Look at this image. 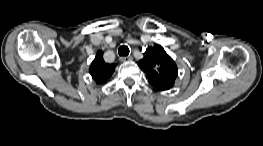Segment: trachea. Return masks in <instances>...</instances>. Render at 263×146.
I'll list each match as a JSON object with an SVG mask.
<instances>
[{
  "label": "trachea",
  "mask_w": 263,
  "mask_h": 146,
  "mask_svg": "<svg viewBox=\"0 0 263 146\" xmlns=\"http://www.w3.org/2000/svg\"><path fill=\"white\" fill-rule=\"evenodd\" d=\"M129 52H130V50L126 45H122L118 49V54L120 56H128Z\"/></svg>",
  "instance_id": "obj_1"
}]
</instances>
